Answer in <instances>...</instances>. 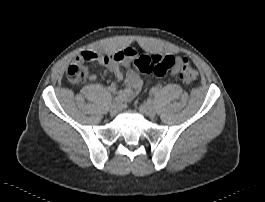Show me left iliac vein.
<instances>
[{"label":"left iliac vein","mask_w":265,"mask_h":202,"mask_svg":"<svg viewBox=\"0 0 265 202\" xmlns=\"http://www.w3.org/2000/svg\"><path fill=\"white\" fill-rule=\"evenodd\" d=\"M139 112L150 117V118H154L156 115L155 107L151 101H147L145 103H142L139 106Z\"/></svg>","instance_id":"1"}]
</instances>
